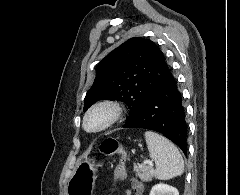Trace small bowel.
Returning <instances> with one entry per match:
<instances>
[{
  "mask_svg": "<svg viewBox=\"0 0 240 195\" xmlns=\"http://www.w3.org/2000/svg\"><path fill=\"white\" fill-rule=\"evenodd\" d=\"M145 188L143 183L136 179L132 178L130 180V188L124 191V195H144Z\"/></svg>",
  "mask_w": 240,
  "mask_h": 195,
  "instance_id": "small-bowel-1",
  "label": "small bowel"
}]
</instances>
